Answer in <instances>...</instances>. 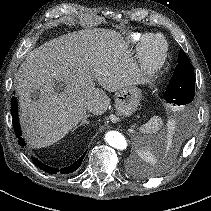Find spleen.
Wrapping results in <instances>:
<instances>
[{"mask_svg":"<svg viewBox=\"0 0 211 211\" xmlns=\"http://www.w3.org/2000/svg\"><path fill=\"white\" fill-rule=\"evenodd\" d=\"M163 125V120L159 116H153L147 123L141 126L142 133H156Z\"/></svg>","mask_w":211,"mask_h":211,"instance_id":"1","label":"spleen"}]
</instances>
